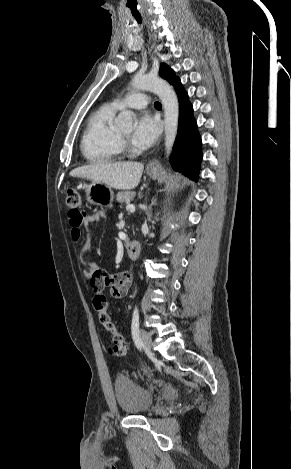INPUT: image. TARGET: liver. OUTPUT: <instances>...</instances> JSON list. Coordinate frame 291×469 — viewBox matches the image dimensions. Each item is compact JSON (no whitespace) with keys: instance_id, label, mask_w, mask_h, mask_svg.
<instances>
[{"instance_id":"obj_1","label":"liver","mask_w":291,"mask_h":469,"mask_svg":"<svg viewBox=\"0 0 291 469\" xmlns=\"http://www.w3.org/2000/svg\"><path fill=\"white\" fill-rule=\"evenodd\" d=\"M143 169L144 165L140 162H98L76 168L70 172V176L101 182L119 190H129L139 184Z\"/></svg>"}]
</instances>
